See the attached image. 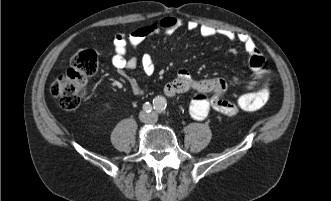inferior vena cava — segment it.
<instances>
[{
  "label": "inferior vena cava",
  "mask_w": 331,
  "mask_h": 201,
  "mask_svg": "<svg viewBox=\"0 0 331 201\" xmlns=\"http://www.w3.org/2000/svg\"><path fill=\"white\" fill-rule=\"evenodd\" d=\"M140 120L144 123H154L156 122V117L151 113H140Z\"/></svg>",
  "instance_id": "obj_1"
}]
</instances>
